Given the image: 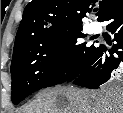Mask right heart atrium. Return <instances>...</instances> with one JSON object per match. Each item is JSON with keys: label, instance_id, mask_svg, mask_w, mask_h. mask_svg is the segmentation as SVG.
Here are the masks:
<instances>
[{"label": "right heart atrium", "instance_id": "1", "mask_svg": "<svg viewBox=\"0 0 123 113\" xmlns=\"http://www.w3.org/2000/svg\"><path fill=\"white\" fill-rule=\"evenodd\" d=\"M56 56L58 59H62L65 56V49L63 46H59L56 49Z\"/></svg>", "mask_w": 123, "mask_h": 113}]
</instances>
